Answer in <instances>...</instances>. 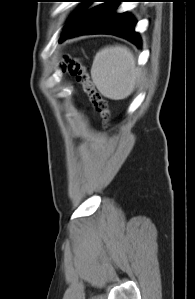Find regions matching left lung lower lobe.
<instances>
[{
    "instance_id": "obj_1",
    "label": "left lung lower lobe",
    "mask_w": 195,
    "mask_h": 299,
    "mask_svg": "<svg viewBox=\"0 0 195 299\" xmlns=\"http://www.w3.org/2000/svg\"><path fill=\"white\" fill-rule=\"evenodd\" d=\"M103 2L80 14L63 30L59 41L82 34H113L123 37L138 47L139 34L135 32L136 21L128 13H116L117 3L123 0H88V3ZM85 6L83 10L86 8Z\"/></svg>"
}]
</instances>
